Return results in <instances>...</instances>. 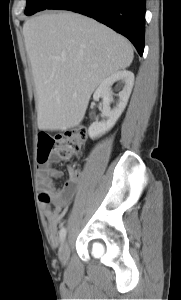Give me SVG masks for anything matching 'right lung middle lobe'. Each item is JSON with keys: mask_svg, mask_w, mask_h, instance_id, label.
<instances>
[{"mask_svg": "<svg viewBox=\"0 0 181 300\" xmlns=\"http://www.w3.org/2000/svg\"><path fill=\"white\" fill-rule=\"evenodd\" d=\"M55 1L56 0H27L25 14L29 16L38 11L45 10Z\"/></svg>", "mask_w": 181, "mask_h": 300, "instance_id": "right-lung-middle-lobe-1", "label": "right lung middle lobe"}]
</instances>
